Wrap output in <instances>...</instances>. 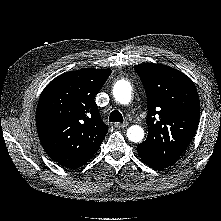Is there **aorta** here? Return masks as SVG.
<instances>
[{
	"label": "aorta",
	"instance_id": "1",
	"mask_svg": "<svg viewBox=\"0 0 221 221\" xmlns=\"http://www.w3.org/2000/svg\"><path fill=\"white\" fill-rule=\"evenodd\" d=\"M113 94L117 102L128 104L132 98L131 85L126 81H120L114 87ZM127 137L131 142H140L144 138V130L138 125H132L127 130Z\"/></svg>",
	"mask_w": 221,
	"mask_h": 221
}]
</instances>
